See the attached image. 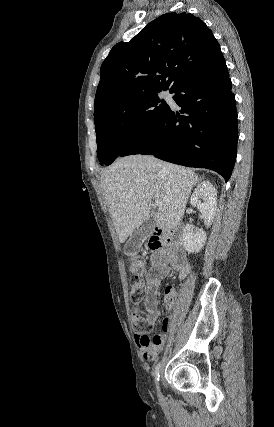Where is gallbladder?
I'll return each mask as SVG.
<instances>
[{
  "instance_id": "obj_1",
  "label": "gallbladder",
  "mask_w": 274,
  "mask_h": 427,
  "mask_svg": "<svg viewBox=\"0 0 274 427\" xmlns=\"http://www.w3.org/2000/svg\"><path fill=\"white\" fill-rule=\"evenodd\" d=\"M153 221L154 217H149L142 227H139L135 233H132L124 245L125 255H135V253H138L144 239H146L147 235H151L153 231Z\"/></svg>"
}]
</instances>
